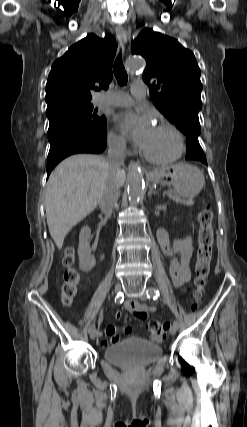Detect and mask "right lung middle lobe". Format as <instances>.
Segmentation results:
<instances>
[{
  "label": "right lung middle lobe",
  "instance_id": "obj_1",
  "mask_svg": "<svg viewBox=\"0 0 247 427\" xmlns=\"http://www.w3.org/2000/svg\"><path fill=\"white\" fill-rule=\"evenodd\" d=\"M47 117L50 121L62 120L77 124L100 137L106 138V118L98 115L97 109H94L91 104L66 106L48 113Z\"/></svg>",
  "mask_w": 247,
  "mask_h": 427
}]
</instances>
